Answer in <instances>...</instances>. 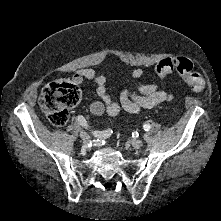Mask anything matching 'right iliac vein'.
Instances as JSON below:
<instances>
[{
	"label": "right iliac vein",
	"instance_id": "obj_1",
	"mask_svg": "<svg viewBox=\"0 0 221 221\" xmlns=\"http://www.w3.org/2000/svg\"><path fill=\"white\" fill-rule=\"evenodd\" d=\"M80 137L84 142H88L90 140V136L84 131L80 132Z\"/></svg>",
	"mask_w": 221,
	"mask_h": 221
}]
</instances>
